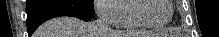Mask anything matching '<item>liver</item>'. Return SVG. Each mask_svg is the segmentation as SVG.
<instances>
[{"mask_svg":"<svg viewBox=\"0 0 219 37\" xmlns=\"http://www.w3.org/2000/svg\"><path fill=\"white\" fill-rule=\"evenodd\" d=\"M93 23L75 17H57L43 23L33 37H94ZM109 37H129L127 33H112Z\"/></svg>","mask_w":219,"mask_h":37,"instance_id":"obj_1","label":"liver"}]
</instances>
